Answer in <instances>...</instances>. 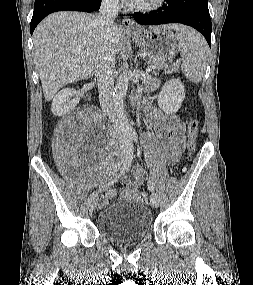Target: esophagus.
I'll return each mask as SVG.
<instances>
[{
  "instance_id": "1",
  "label": "esophagus",
  "mask_w": 253,
  "mask_h": 285,
  "mask_svg": "<svg viewBox=\"0 0 253 285\" xmlns=\"http://www.w3.org/2000/svg\"><path fill=\"white\" fill-rule=\"evenodd\" d=\"M122 26L126 31H134L138 29V26L135 22L128 16H125L122 20Z\"/></svg>"
}]
</instances>
